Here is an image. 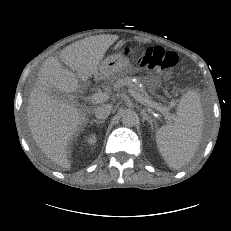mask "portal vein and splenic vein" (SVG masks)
<instances>
[{
	"label": "portal vein and splenic vein",
	"mask_w": 231,
	"mask_h": 231,
	"mask_svg": "<svg viewBox=\"0 0 231 231\" xmlns=\"http://www.w3.org/2000/svg\"><path fill=\"white\" fill-rule=\"evenodd\" d=\"M129 93L137 100L139 101L141 104L145 105V106H148L150 108H154V104L153 102L151 101H148L146 100L145 98H143L141 95H139L138 93H136L135 91L133 90H130L129 89ZM109 99V94L106 93V92H97L95 94H93L91 97H90V100L92 103H101V102H104L106 100ZM155 109V108H154ZM166 118L167 119H170L171 116L170 114L167 112L165 114Z\"/></svg>",
	"instance_id": "18ae733b"
}]
</instances>
